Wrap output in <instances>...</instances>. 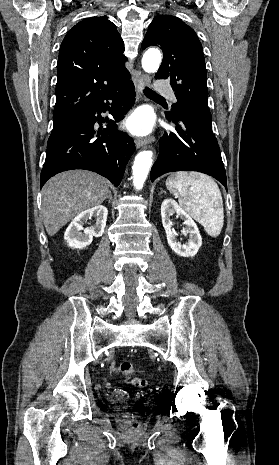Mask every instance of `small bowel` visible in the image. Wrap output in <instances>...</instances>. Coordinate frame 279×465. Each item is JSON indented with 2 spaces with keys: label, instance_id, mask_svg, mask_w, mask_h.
Instances as JSON below:
<instances>
[{
  "label": "small bowel",
  "instance_id": "c3829d8e",
  "mask_svg": "<svg viewBox=\"0 0 279 465\" xmlns=\"http://www.w3.org/2000/svg\"><path fill=\"white\" fill-rule=\"evenodd\" d=\"M110 370H111L112 372H115V371L117 370V368H116V366H115L114 364H112V365L110 366Z\"/></svg>",
  "mask_w": 279,
  "mask_h": 465
}]
</instances>
